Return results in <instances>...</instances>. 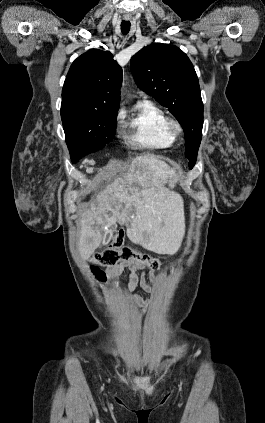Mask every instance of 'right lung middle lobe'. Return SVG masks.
Wrapping results in <instances>:
<instances>
[{
  "instance_id": "1",
  "label": "right lung middle lobe",
  "mask_w": 265,
  "mask_h": 423,
  "mask_svg": "<svg viewBox=\"0 0 265 423\" xmlns=\"http://www.w3.org/2000/svg\"><path fill=\"white\" fill-rule=\"evenodd\" d=\"M61 118L73 163L102 149L115 136L117 112L80 104H61Z\"/></svg>"
}]
</instances>
